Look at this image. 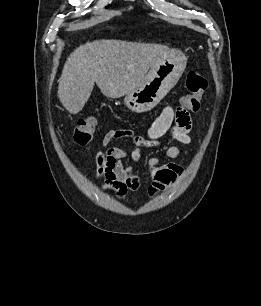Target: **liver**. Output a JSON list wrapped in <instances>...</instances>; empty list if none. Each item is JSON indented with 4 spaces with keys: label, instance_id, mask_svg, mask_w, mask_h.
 Returning a JSON list of instances; mask_svg holds the SVG:
<instances>
[{
    "label": "liver",
    "instance_id": "1",
    "mask_svg": "<svg viewBox=\"0 0 261 306\" xmlns=\"http://www.w3.org/2000/svg\"><path fill=\"white\" fill-rule=\"evenodd\" d=\"M161 44L96 40L80 45L67 58L58 97L71 114L80 112L96 83L102 94L120 98L133 91L148 70L170 53Z\"/></svg>",
    "mask_w": 261,
    "mask_h": 306
}]
</instances>
